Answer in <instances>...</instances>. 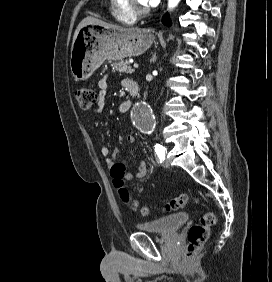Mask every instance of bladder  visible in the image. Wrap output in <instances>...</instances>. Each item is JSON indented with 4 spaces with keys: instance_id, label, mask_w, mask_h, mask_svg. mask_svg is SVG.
Instances as JSON below:
<instances>
[{
    "instance_id": "obj_1",
    "label": "bladder",
    "mask_w": 272,
    "mask_h": 282,
    "mask_svg": "<svg viewBox=\"0 0 272 282\" xmlns=\"http://www.w3.org/2000/svg\"><path fill=\"white\" fill-rule=\"evenodd\" d=\"M188 219L189 214L181 212L153 221L138 223L136 228L141 232L170 234L177 231Z\"/></svg>"
}]
</instances>
